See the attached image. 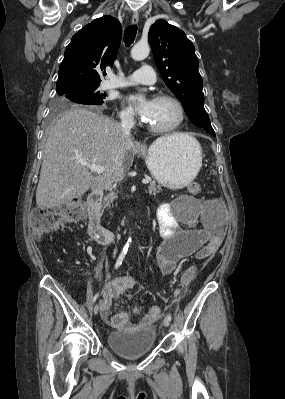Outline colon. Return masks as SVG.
Masks as SVG:
<instances>
[{"mask_svg": "<svg viewBox=\"0 0 285 399\" xmlns=\"http://www.w3.org/2000/svg\"><path fill=\"white\" fill-rule=\"evenodd\" d=\"M188 193L191 196H197L201 192L199 183H191L188 186ZM85 204L80 198L71 200L64 204L61 208H37L34 209L29 217L30 229L35 238H41L46 235L51 229L59 227L65 222L81 221L84 217ZM219 239H212L205 244L201 249V256L203 259L211 258L220 247ZM197 271L195 268L189 270L182 279V287L186 288L187 285L193 280ZM134 310L139 312L140 309L135 307ZM160 312L158 306H152L147 310L149 317L154 318Z\"/></svg>", "mask_w": 285, "mask_h": 399, "instance_id": "obj_1", "label": "colon"}]
</instances>
